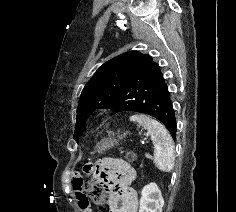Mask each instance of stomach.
I'll list each match as a JSON object with an SVG mask.
<instances>
[{"mask_svg":"<svg viewBox=\"0 0 236 212\" xmlns=\"http://www.w3.org/2000/svg\"><path fill=\"white\" fill-rule=\"evenodd\" d=\"M123 136H126V134H124ZM117 143L116 139H103L98 145H97V149L99 150H106L109 148H112L115 144Z\"/></svg>","mask_w":236,"mask_h":212,"instance_id":"stomach-1","label":"stomach"}]
</instances>
